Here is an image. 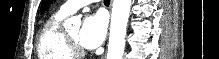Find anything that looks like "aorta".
Wrapping results in <instances>:
<instances>
[{"label":"aorta","mask_w":219,"mask_h":59,"mask_svg":"<svg viewBox=\"0 0 219 59\" xmlns=\"http://www.w3.org/2000/svg\"><path fill=\"white\" fill-rule=\"evenodd\" d=\"M131 0H114L111 14L107 59H122L125 49L126 27ZM74 21L68 19L65 25Z\"/></svg>","instance_id":"obj_1"}]
</instances>
